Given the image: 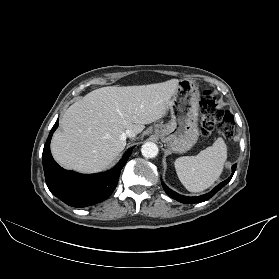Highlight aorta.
<instances>
[{"mask_svg": "<svg viewBox=\"0 0 279 279\" xmlns=\"http://www.w3.org/2000/svg\"><path fill=\"white\" fill-rule=\"evenodd\" d=\"M158 146L153 142H146L141 147V153L145 158H154L158 154Z\"/></svg>", "mask_w": 279, "mask_h": 279, "instance_id": "762f6f07", "label": "aorta"}]
</instances>
